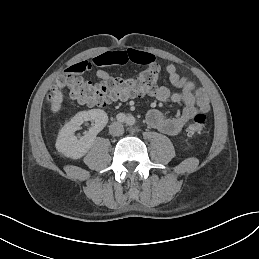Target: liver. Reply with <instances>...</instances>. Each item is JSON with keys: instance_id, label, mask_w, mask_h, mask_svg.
<instances>
[{"instance_id": "obj_1", "label": "liver", "mask_w": 259, "mask_h": 259, "mask_svg": "<svg viewBox=\"0 0 259 259\" xmlns=\"http://www.w3.org/2000/svg\"><path fill=\"white\" fill-rule=\"evenodd\" d=\"M63 102H64V91L63 89L59 88L56 89L52 96L50 97V112L53 115H57L59 112H61L63 108Z\"/></svg>"}]
</instances>
